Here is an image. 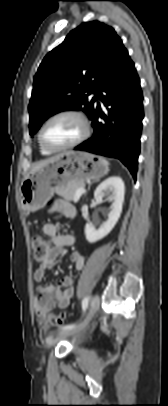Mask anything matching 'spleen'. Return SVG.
<instances>
[{
    "label": "spleen",
    "mask_w": 168,
    "mask_h": 406,
    "mask_svg": "<svg viewBox=\"0 0 168 406\" xmlns=\"http://www.w3.org/2000/svg\"><path fill=\"white\" fill-rule=\"evenodd\" d=\"M102 160L108 165V162L105 159H102Z\"/></svg>",
    "instance_id": "obj_1"
}]
</instances>
